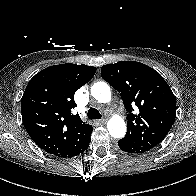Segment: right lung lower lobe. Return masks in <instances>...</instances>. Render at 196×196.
Listing matches in <instances>:
<instances>
[{
  "instance_id": "1",
  "label": "right lung lower lobe",
  "mask_w": 196,
  "mask_h": 196,
  "mask_svg": "<svg viewBox=\"0 0 196 196\" xmlns=\"http://www.w3.org/2000/svg\"><path fill=\"white\" fill-rule=\"evenodd\" d=\"M91 132L92 129L89 131V133H87L84 137H82L72 148L56 156L62 158H70L79 155L80 153H83L88 148L89 143L91 141L90 139Z\"/></svg>"
}]
</instances>
